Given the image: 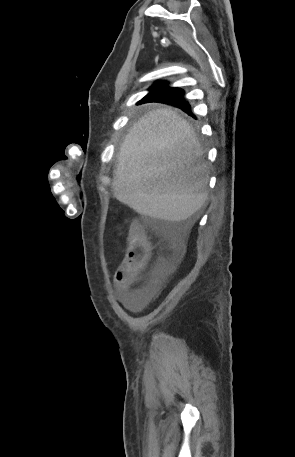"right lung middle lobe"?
Segmentation results:
<instances>
[{"label": "right lung middle lobe", "mask_w": 295, "mask_h": 457, "mask_svg": "<svg viewBox=\"0 0 295 457\" xmlns=\"http://www.w3.org/2000/svg\"><path fill=\"white\" fill-rule=\"evenodd\" d=\"M165 85V84H164ZM179 96V92L172 89H164L159 91L156 101L163 102L164 100L172 97Z\"/></svg>", "instance_id": "right-lung-middle-lobe-1"}]
</instances>
